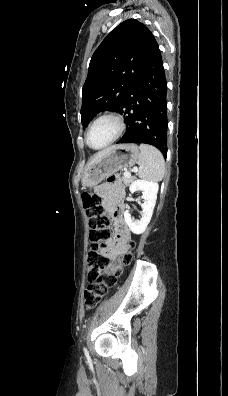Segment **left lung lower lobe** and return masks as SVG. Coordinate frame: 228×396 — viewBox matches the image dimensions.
Returning a JSON list of instances; mask_svg holds the SVG:
<instances>
[{"label":"left lung lower lobe","instance_id":"left-lung-lower-lobe-1","mask_svg":"<svg viewBox=\"0 0 228 396\" xmlns=\"http://www.w3.org/2000/svg\"><path fill=\"white\" fill-rule=\"evenodd\" d=\"M167 82L157 42L121 108L126 133L117 143H145L167 156Z\"/></svg>","mask_w":228,"mask_h":396}]
</instances>
